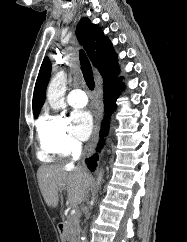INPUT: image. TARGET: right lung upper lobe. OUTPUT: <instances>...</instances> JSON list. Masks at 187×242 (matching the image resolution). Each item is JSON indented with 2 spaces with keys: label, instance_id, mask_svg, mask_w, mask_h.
Listing matches in <instances>:
<instances>
[{
  "label": "right lung upper lobe",
  "instance_id": "right-lung-upper-lobe-1",
  "mask_svg": "<svg viewBox=\"0 0 187 242\" xmlns=\"http://www.w3.org/2000/svg\"><path fill=\"white\" fill-rule=\"evenodd\" d=\"M80 44L86 50L92 64L103 77L104 84L114 79L119 74L117 55L110 40L103 35L99 26L92 24L86 17L82 18L76 31ZM51 62L44 58L33 94V113L38 116L46 98V88L50 79Z\"/></svg>",
  "mask_w": 187,
  "mask_h": 242
}]
</instances>
